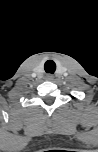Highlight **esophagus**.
<instances>
[{
    "mask_svg": "<svg viewBox=\"0 0 98 152\" xmlns=\"http://www.w3.org/2000/svg\"><path fill=\"white\" fill-rule=\"evenodd\" d=\"M45 78H46V80L51 81V80H53V75L47 74Z\"/></svg>",
    "mask_w": 98,
    "mask_h": 152,
    "instance_id": "1",
    "label": "esophagus"
}]
</instances>
